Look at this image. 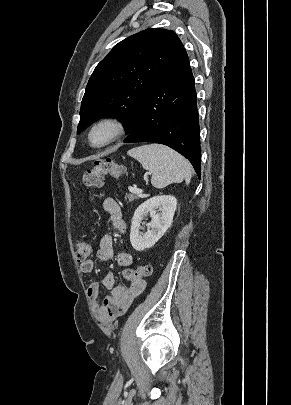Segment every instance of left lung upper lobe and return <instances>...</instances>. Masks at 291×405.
I'll return each instance as SVG.
<instances>
[{"label": "left lung upper lobe", "instance_id": "1", "mask_svg": "<svg viewBox=\"0 0 291 405\" xmlns=\"http://www.w3.org/2000/svg\"><path fill=\"white\" fill-rule=\"evenodd\" d=\"M183 48L173 31L156 28L118 43L89 79L77 133L102 117L119 118L131 133L143 99Z\"/></svg>", "mask_w": 291, "mask_h": 405}]
</instances>
